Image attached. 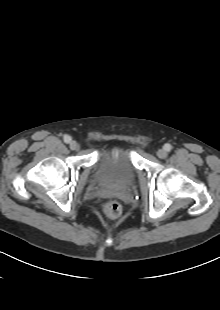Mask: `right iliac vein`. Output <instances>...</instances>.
Instances as JSON below:
<instances>
[{"label":"right iliac vein","mask_w":220,"mask_h":310,"mask_svg":"<svg viewBox=\"0 0 220 310\" xmlns=\"http://www.w3.org/2000/svg\"><path fill=\"white\" fill-rule=\"evenodd\" d=\"M69 146H70L71 150H77L79 147V145L76 141H71Z\"/></svg>","instance_id":"right-iliac-vein-1"}]
</instances>
